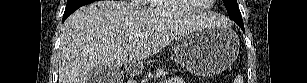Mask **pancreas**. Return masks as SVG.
I'll return each instance as SVG.
<instances>
[{
    "instance_id": "pancreas-1",
    "label": "pancreas",
    "mask_w": 307,
    "mask_h": 83,
    "mask_svg": "<svg viewBox=\"0 0 307 83\" xmlns=\"http://www.w3.org/2000/svg\"><path fill=\"white\" fill-rule=\"evenodd\" d=\"M168 74V72H166L164 69L162 68H158L154 71V73H149L148 74V77L151 78V77H156V78H159V77H164Z\"/></svg>"
}]
</instances>
